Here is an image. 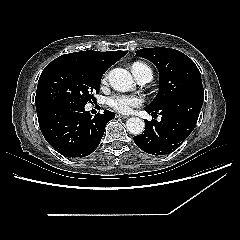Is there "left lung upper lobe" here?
Wrapping results in <instances>:
<instances>
[{
    "mask_svg": "<svg viewBox=\"0 0 240 240\" xmlns=\"http://www.w3.org/2000/svg\"><path fill=\"white\" fill-rule=\"evenodd\" d=\"M137 56L151 61L160 74V91L146 107L159 110L169 102L194 93H203L200 72L185 54L169 48H144Z\"/></svg>",
    "mask_w": 240,
    "mask_h": 240,
    "instance_id": "1",
    "label": "left lung upper lobe"
}]
</instances>
